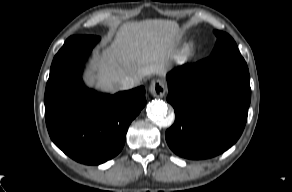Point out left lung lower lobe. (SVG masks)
<instances>
[{
	"instance_id": "0a47b994",
	"label": "left lung lower lobe",
	"mask_w": 292,
	"mask_h": 192,
	"mask_svg": "<svg viewBox=\"0 0 292 192\" xmlns=\"http://www.w3.org/2000/svg\"><path fill=\"white\" fill-rule=\"evenodd\" d=\"M175 122L165 137L188 159L211 158L241 136L250 105V79L241 54L221 53L185 64L166 76Z\"/></svg>"
}]
</instances>
